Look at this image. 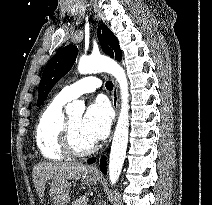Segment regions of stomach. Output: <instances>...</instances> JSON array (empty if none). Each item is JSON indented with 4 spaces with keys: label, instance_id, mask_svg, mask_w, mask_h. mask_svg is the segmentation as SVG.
<instances>
[{
    "label": "stomach",
    "instance_id": "stomach-1",
    "mask_svg": "<svg viewBox=\"0 0 212 205\" xmlns=\"http://www.w3.org/2000/svg\"><path fill=\"white\" fill-rule=\"evenodd\" d=\"M101 178L96 175L86 174L85 182L88 185H96ZM50 198L53 205H67L69 203V189L71 183L67 180H52L50 183Z\"/></svg>",
    "mask_w": 212,
    "mask_h": 205
}]
</instances>
